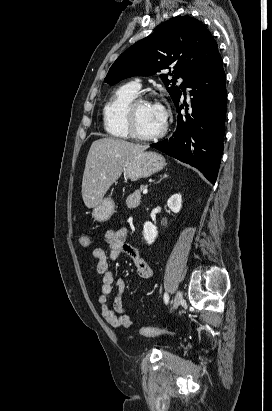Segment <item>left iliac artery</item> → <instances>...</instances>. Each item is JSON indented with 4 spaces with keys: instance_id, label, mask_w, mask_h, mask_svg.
<instances>
[{
    "instance_id": "left-iliac-artery-1",
    "label": "left iliac artery",
    "mask_w": 272,
    "mask_h": 411,
    "mask_svg": "<svg viewBox=\"0 0 272 411\" xmlns=\"http://www.w3.org/2000/svg\"><path fill=\"white\" fill-rule=\"evenodd\" d=\"M168 301H169V296H168L167 293H165V294H164V302H165V304H167Z\"/></svg>"
}]
</instances>
